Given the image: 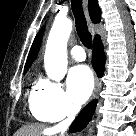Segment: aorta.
<instances>
[{
    "label": "aorta",
    "instance_id": "obj_1",
    "mask_svg": "<svg viewBox=\"0 0 136 136\" xmlns=\"http://www.w3.org/2000/svg\"><path fill=\"white\" fill-rule=\"evenodd\" d=\"M72 21L57 17L47 40L44 64L47 76L61 81L67 72V42L72 31Z\"/></svg>",
    "mask_w": 136,
    "mask_h": 136
}]
</instances>
